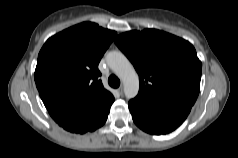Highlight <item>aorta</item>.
Listing matches in <instances>:
<instances>
[{"label": "aorta", "mask_w": 238, "mask_h": 158, "mask_svg": "<svg viewBox=\"0 0 238 158\" xmlns=\"http://www.w3.org/2000/svg\"><path fill=\"white\" fill-rule=\"evenodd\" d=\"M106 59L111 70L123 82L125 96L128 99L136 97L139 91V78L127 57L121 51H111Z\"/></svg>", "instance_id": "obj_1"}]
</instances>
